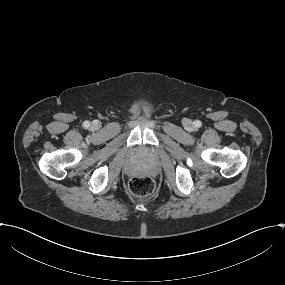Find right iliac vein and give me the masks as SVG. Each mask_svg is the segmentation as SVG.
<instances>
[{
    "label": "right iliac vein",
    "instance_id": "obj_1",
    "mask_svg": "<svg viewBox=\"0 0 285 285\" xmlns=\"http://www.w3.org/2000/svg\"><path fill=\"white\" fill-rule=\"evenodd\" d=\"M92 127H93V128H99V122H98V121H94V122L92 123Z\"/></svg>",
    "mask_w": 285,
    "mask_h": 285
}]
</instances>
